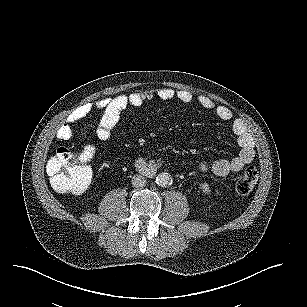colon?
<instances>
[{"mask_svg": "<svg viewBox=\"0 0 307 307\" xmlns=\"http://www.w3.org/2000/svg\"><path fill=\"white\" fill-rule=\"evenodd\" d=\"M47 171L53 188L59 193L81 194L91 184L92 172L82 152L68 147L59 148L51 157ZM258 171L248 167L235 181L234 190L237 194L246 195L255 187Z\"/></svg>", "mask_w": 307, "mask_h": 307, "instance_id": "1", "label": "colon"}]
</instances>
